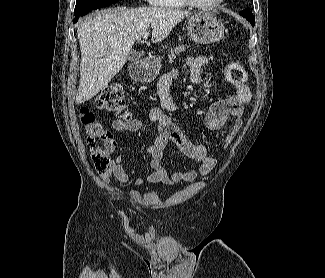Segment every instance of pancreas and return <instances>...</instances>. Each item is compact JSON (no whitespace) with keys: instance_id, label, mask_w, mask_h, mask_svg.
Instances as JSON below:
<instances>
[{"instance_id":"cf45deb5","label":"pancreas","mask_w":325,"mask_h":278,"mask_svg":"<svg viewBox=\"0 0 325 278\" xmlns=\"http://www.w3.org/2000/svg\"><path fill=\"white\" fill-rule=\"evenodd\" d=\"M186 47L184 45H180L178 47H175L174 49H171L168 58H169V63H173L174 59L176 58V54H179L182 51H185Z\"/></svg>"}]
</instances>
